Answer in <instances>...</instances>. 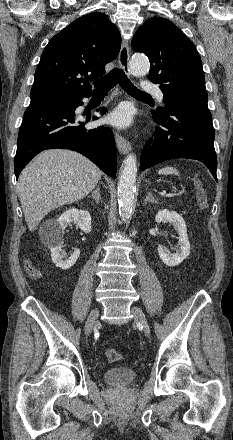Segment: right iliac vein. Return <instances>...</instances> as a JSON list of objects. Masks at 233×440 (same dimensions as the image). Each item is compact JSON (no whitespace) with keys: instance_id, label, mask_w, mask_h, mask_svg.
<instances>
[{"instance_id":"1","label":"right iliac vein","mask_w":233,"mask_h":440,"mask_svg":"<svg viewBox=\"0 0 233 440\" xmlns=\"http://www.w3.org/2000/svg\"><path fill=\"white\" fill-rule=\"evenodd\" d=\"M99 316V309L98 308H94L90 314L89 317L85 323V334L86 336H89L92 332L93 326L97 321V318Z\"/></svg>"}]
</instances>
